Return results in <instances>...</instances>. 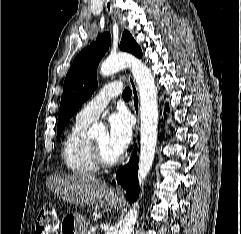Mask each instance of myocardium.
I'll list each match as a JSON object with an SVG mask.
<instances>
[{"mask_svg":"<svg viewBox=\"0 0 241 234\" xmlns=\"http://www.w3.org/2000/svg\"><path fill=\"white\" fill-rule=\"evenodd\" d=\"M91 145L93 159L99 168H110L121 161L122 157L120 154L112 159L107 158L101 146L94 139L91 140Z\"/></svg>","mask_w":241,"mask_h":234,"instance_id":"f54148a6","label":"myocardium"}]
</instances>
